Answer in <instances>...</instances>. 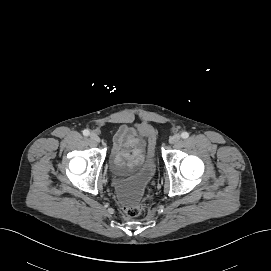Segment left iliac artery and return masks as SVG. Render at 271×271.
<instances>
[{"label":"left iliac artery","instance_id":"44dca946","mask_svg":"<svg viewBox=\"0 0 271 271\" xmlns=\"http://www.w3.org/2000/svg\"><path fill=\"white\" fill-rule=\"evenodd\" d=\"M181 137H182L183 139H187V138L189 137V133H188V132H182V133H181Z\"/></svg>","mask_w":271,"mask_h":271}]
</instances>
